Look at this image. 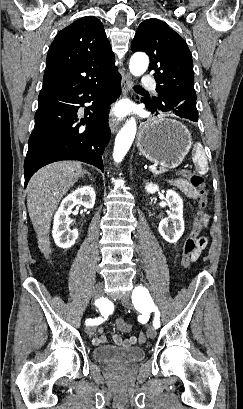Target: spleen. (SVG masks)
I'll return each mask as SVG.
<instances>
[{"label": "spleen", "instance_id": "3e777b00", "mask_svg": "<svg viewBox=\"0 0 243 409\" xmlns=\"http://www.w3.org/2000/svg\"><path fill=\"white\" fill-rule=\"evenodd\" d=\"M193 162L195 164L196 170L201 175H204L208 172V161L203 150V147L200 143H196L193 148Z\"/></svg>", "mask_w": 243, "mask_h": 409}]
</instances>
